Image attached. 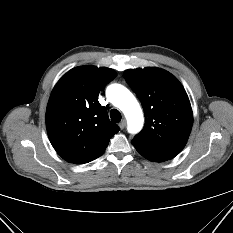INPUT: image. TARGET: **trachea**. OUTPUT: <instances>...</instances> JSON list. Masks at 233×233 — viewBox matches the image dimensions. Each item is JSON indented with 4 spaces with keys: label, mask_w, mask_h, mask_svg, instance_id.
<instances>
[{
    "label": "trachea",
    "mask_w": 233,
    "mask_h": 233,
    "mask_svg": "<svg viewBox=\"0 0 233 233\" xmlns=\"http://www.w3.org/2000/svg\"><path fill=\"white\" fill-rule=\"evenodd\" d=\"M110 118L112 122L118 123L121 121V113L116 109H112L110 111Z\"/></svg>",
    "instance_id": "1"
}]
</instances>
